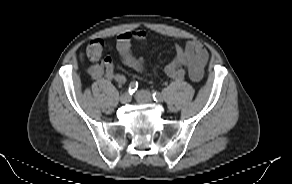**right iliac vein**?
I'll return each instance as SVG.
<instances>
[{
    "instance_id": "1",
    "label": "right iliac vein",
    "mask_w": 292,
    "mask_h": 184,
    "mask_svg": "<svg viewBox=\"0 0 292 184\" xmlns=\"http://www.w3.org/2000/svg\"><path fill=\"white\" fill-rule=\"evenodd\" d=\"M131 100V95L129 93H123L121 96H120V102L122 104H126L128 102H130Z\"/></svg>"
}]
</instances>
